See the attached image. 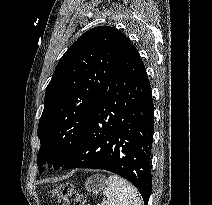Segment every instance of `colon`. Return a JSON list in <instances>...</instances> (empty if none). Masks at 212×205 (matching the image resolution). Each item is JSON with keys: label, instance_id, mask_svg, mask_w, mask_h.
Instances as JSON below:
<instances>
[{"label": "colon", "instance_id": "5ec220e1", "mask_svg": "<svg viewBox=\"0 0 212 205\" xmlns=\"http://www.w3.org/2000/svg\"><path fill=\"white\" fill-rule=\"evenodd\" d=\"M52 196L62 205H84L82 196L69 183L58 185Z\"/></svg>", "mask_w": 212, "mask_h": 205}]
</instances>
